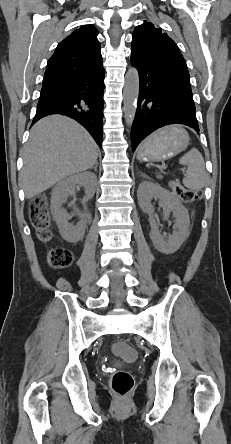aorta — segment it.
<instances>
[{"instance_id": "762f6f07", "label": "aorta", "mask_w": 231, "mask_h": 444, "mask_svg": "<svg viewBox=\"0 0 231 444\" xmlns=\"http://www.w3.org/2000/svg\"><path fill=\"white\" fill-rule=\"evenodd\" d=\"M139 95V74L136 68H130L125 77L123 89L124 96V117L127 126H131L137 110V100Z\"/></svg>"}]
</instances>
